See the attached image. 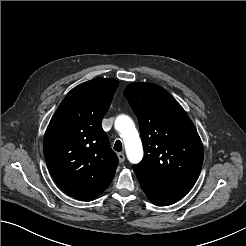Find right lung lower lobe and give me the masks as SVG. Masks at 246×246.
<instances>
[{
    "instance_id": "1",
    "label": "right lung lower lobe",
    "mask_w": 246,
    "mask_h": 246,
    "mask_svg": "<svg viewBox=\"0 0 246 246\" xmlns=\"http://www.w3.org/2000/svg\"><path fill=\"white\" fill-rule=\"evenodd\" d=\"M94 198H96V197H92V198H78V199H81V200H84V201H91V200H93Z\"/></svg>"
}]
</instances>
